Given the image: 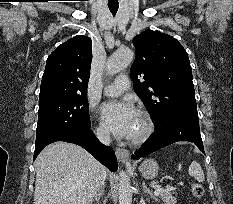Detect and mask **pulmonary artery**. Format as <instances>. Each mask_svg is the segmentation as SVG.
Instances as JSON below:
<instances>
[{"label": "pulmonary artery", "mask_w": 233, "mask_h": 204, "mask_svg": "<svg viewBox=\"0 0 233 204\" xmlns=\"http://www.w3.org/2000/svg\"><path fill=\"white\" fill-rule=\"evenodd\" d=\"M129 88V79L125 75L118 76L112 84L104 88L107 96H118Z\"/></svg>", "instance_id": "obj_1"}]
</instances>
